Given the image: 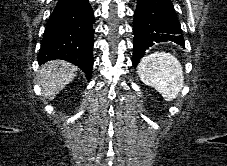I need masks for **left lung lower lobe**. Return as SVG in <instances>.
Masks as SVG:
<instances>
[{"instance_id":"1","label":"left lung lower lobe","mask_w":227,"mask_h":166,"mask_svg":"<svg viewBox=\"0 0 227 166\" xmlns=\"http://www.w3.org/2000/svg\"><path fill=\"white\" fill-rule=\"evenodd\" d=\"M133 66L154 42L172 41L184 46V38L171 0H138L134 13Z\"/></svg>"}]
</instances>
